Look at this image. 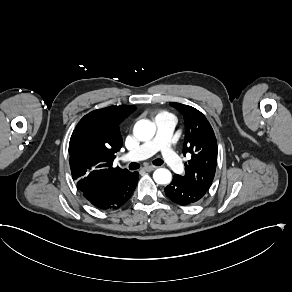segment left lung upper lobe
Masks as SVG:
<instances>
[{
    "label": "left lung upper lobe",
    "instance_id": "left-lung-upper-lobe-1",
    "mask_svg": "<svg viewBox=\"0 0 292 292\" xmlns=\"http://www.w3.org/2000/svg\"><path fill=\"white\" fill-rule=\"evenodd\" d=\"M170 105L184 117L183 154L190 157L188 163H185V175L175 176L183 183L207 192L213 182L217 165L218 147L214 131L206 117L196 108L174 102Z\"/></svg>",
    "mask_w": 292,
    "mask_h": 292
}]
</instances>
